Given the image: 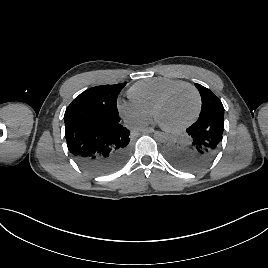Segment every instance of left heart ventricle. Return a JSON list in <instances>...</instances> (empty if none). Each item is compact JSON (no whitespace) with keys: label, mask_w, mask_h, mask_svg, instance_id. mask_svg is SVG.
<instances>
[{"label":"left heart ventricle","mask_w":268,"mask_h":268,"mask_svg":"<svg viewBox=\"0 0 268 268\" xmlns=\"http://www.w3.org/2000/svg\"><path fill=\"white\" fill-rule=\"evenodd\" d=\"M196 96L189 88L176 91L159 110V120L170 127L178 126L190 119L196 110Z\"/></svg>","instance_id":"left-heart-ventricle-1"}]
</instances>
